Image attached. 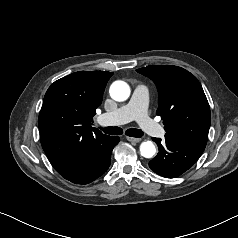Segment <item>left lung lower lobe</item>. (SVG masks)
Returning a JSON list of instances; mask_svg holds the SVG:
<instances>
[{
    "mask_svg": "<svg viewBox=\"0 0 238 238\" xmlns=\"http://www.w3.org/2000/svg\"><path fill=\"white\" fill-rule=\"evenodd\" d=\"M159 148L157 156L149 162V167L158 175L175 178L188 170L201 156L205 147L165 136V141L152 138Z\"/></svg>",
    "mask_w": 238,
    "mask_h": 238,
    "instance_id": "1",
    "label": "left lung lower lobe"
}]
</instances>
